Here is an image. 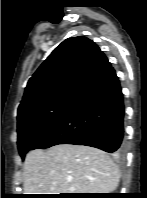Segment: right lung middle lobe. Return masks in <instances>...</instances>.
<instances>
[{
	"mask_svg": "<svg viewBox=\"0 0 147 198\" xmlns=\"http://www.w3.org/2000/svg\"><path fill=\"white\" fill-rule=\"evenodd\" d=\"M75 101L59 100L38 106L18 118V150L22 159L72 108Z\"/></svg>",
	"mask_w": 147,
	"mask_h": 198,
	"instance_id": "right-lung-middle-lobe-1",
	"label": "right lung middle lobe"
}]
</instances>
